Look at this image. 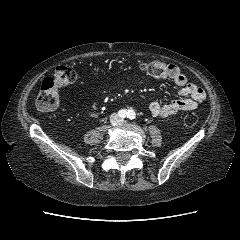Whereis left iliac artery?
Returning a JSON list of instances; mask_svg holds the SVG:
<instances>
[{"mask_svg": "<svg viewBox=\"0 0 240 240\" xmlns=\"http://www.w3.org/2000/svg\"><path fill=\"white\" fill-rule=\"evenodd\" d=\"M127 117L131 120L134 119L135 118V112L133 110H129L128 114H127Z\"/></svg>", "mask_w": 240, "mask_h": 240, "instance_id": "44dca946", "label": "left iliac artery"}]
</instances>
